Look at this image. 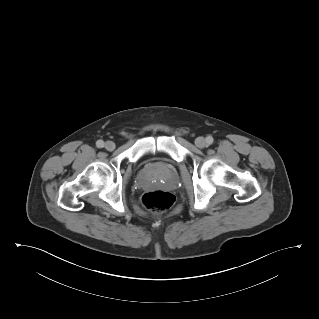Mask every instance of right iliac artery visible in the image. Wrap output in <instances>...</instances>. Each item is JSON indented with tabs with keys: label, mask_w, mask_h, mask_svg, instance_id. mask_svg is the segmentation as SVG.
<instances>
[{
	"label": "right iliac artery",
	"mask_w": 319,
	"mask_h": 319,
	"mask_svg": "<svg viewBox=\"0 0 319 319\" xmlns=\"http://www.w3.org/2000/svg\"><path fill=\"white\" fill-rule=\"evenodd\" d=\"M96 145H97L98 148H102V147H104V142L102 140H98L96 142Z\"/></svg>",
	"instance_id": "1"
}]
</instances>
